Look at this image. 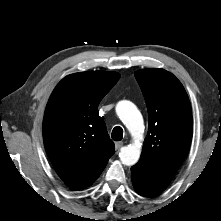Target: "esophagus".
I'll use <instances>...</instances> for the list:
<instances>
[{"label": "esophagus", "mask_w": 221, "mask_h": 221, "mask_svg": "<svg viewBox=\"0 0 221 221\" xmlns=\"http://www.w3.org/2000/svg\"><path fill=\"white\" fill-rule=\"evenodd\" d=\"M122 146H123V142H116L115 143L116 150H119Z\"/></svg>", "instance_id": "1"}]
</instances>
